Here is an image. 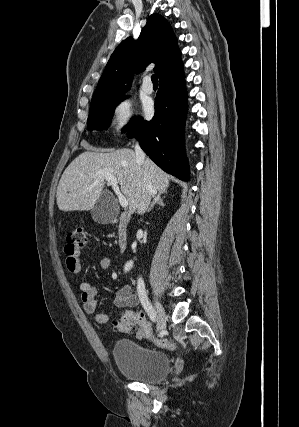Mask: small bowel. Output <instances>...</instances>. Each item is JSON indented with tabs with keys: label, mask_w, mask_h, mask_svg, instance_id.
I'll use <instances>...</instances> for the list:
<instances>
[{
	"label": "small bowel",
	"mask_w": 299,
	"mask_h": 427,
	"mask_svg": "<svg viewBox=\"0 0 299 427\" xmlns=\"http://www.w3.org/2000/svg\"><path fill=\"white\" fill-rule=\"evenodd\" d=\"M66 255V267L71 273H78L81 270V260L79 252L75 254H69L64 250ZM98 266L101 270H107L110 267V260L108 258H102ZM80 300L82 303L85 314L91 315L96 312L97 309V296L101 291L97 289L90 281H82L80 284ZM139 297L132 291L129 285H125L116 290L114 304L118 308H132L139 305ZM144 319V314L139 313ZM111 313L107 311H100L95 313V321L98 324H106L109 322ZM149 327L150 324L148 323ZM151 329V327H150ZM138 339L152 338V334H144L139 328L136 332Z\"/></svg>",
	"instance_id": "obj_1"
}]
</instances>
